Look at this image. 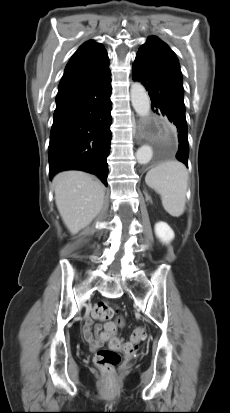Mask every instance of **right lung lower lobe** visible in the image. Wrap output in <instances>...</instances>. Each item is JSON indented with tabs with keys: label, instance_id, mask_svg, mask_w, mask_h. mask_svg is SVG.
<instances>
[{
	"label": "right lung lower lobe",
	"instance_id": "right-lung-lower-lobe-1",
	"mask_svg": "<svg viewBox=\"0 0 230 413\" xmlns=\"http://www.w3.org/2000/svg\"><path fill=\"white\" fill-rule=\"evenodd\" d=\"M111 73L59 89L50 134V179L76 169L97 175L107 186L112 123Z\"/></svg>",
	"mask_w": 230,
	"mask_h": 413
}]
</instances>
